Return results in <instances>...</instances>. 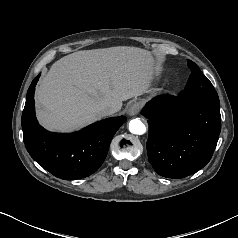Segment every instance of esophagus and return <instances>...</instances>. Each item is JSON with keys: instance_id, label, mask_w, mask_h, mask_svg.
Masks as SVG:
<instances>
[{"instance_id": "esophagus-1", "label": "esophagus", "mask_w": 238, "mask_h": 238, "mask_svg": "<svg viewBox=\"0 0 238 238\" xmlns=\"http://www.w3.org/2000/svg\"><path fill=\"white\" fill-rule=\"evenodd\" d=\"M140 109H141V104L135 102V103H133V104L129 107V109H128V114H129L130 116H134V115L138 114V112L140 111Z\"/></svg>"}]
</instances>
